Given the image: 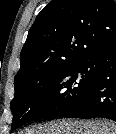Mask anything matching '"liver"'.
<instances>
[{
	"instance_id": "obj_1",
	"label": "liver",
	"mask_w": 116,
	"mask_h": 134,
	"mask_svg": "<svg viewBox=\"0 0 116 134\" xmlns=\"http://www.w3.org/2000/svg\"><path fill=\"white\" fill-rule=\"evenodd\" d=\"M24 134H116V125L108 121L62 120L26 130Z\"/></svg>"
}]
</instances>
